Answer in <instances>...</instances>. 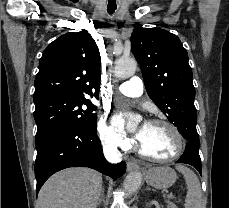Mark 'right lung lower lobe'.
Here are the masks:
<instances>
[{"instance_id":"obj_1","label":"right lung lower lobe","mask_w":229,"mask_h":208,"mask_svg":"<svg viewBox=\"0 0 229 208\" xmlns=\"http://www.w3.org/2000/svg\"><path fill=\"white\" fill-rule=\"evenodd\" d=\"M36 194L54 173L68 167H90L118 179L126 171V163L108 164L102 153L96 130L75 125H62L36 139Z\"/></svg>"}]
</instances>
